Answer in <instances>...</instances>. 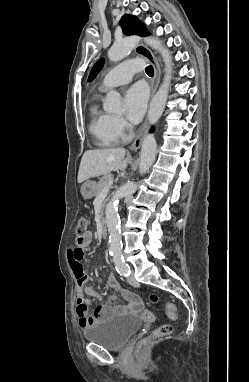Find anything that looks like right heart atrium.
Returning <instances> with one entry per match:
<instances>
[{"instance_id": "d8ad5b80", "label": "right heart atrium", "mask_w": 249, "mask_h": 382, "mask_svg": "<svg viewBox=\"0 0 249 382\" xmlns=\"http://www.w3.org/2000/svg\"><path fill=\"white\" fill-rule=\"evenodd\" d=\"M111 127L113 133L118 137V139L125 137L130 128L128 123L123 118L117 116L112 117Z\"/></svg>"}]
</instances>
